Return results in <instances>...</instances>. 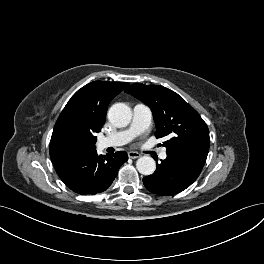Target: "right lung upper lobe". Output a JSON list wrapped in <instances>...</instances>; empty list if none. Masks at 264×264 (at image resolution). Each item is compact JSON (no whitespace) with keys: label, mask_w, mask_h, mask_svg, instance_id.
<instances>
[{"label":"right lung upper lobe","mask_w":264,"mask_h":264,"mask_svg":"<svg viewBox=\"0 0 264 264\" xmlns=\"http://www.w3.org/2000/svg\"><path fill=\"white\" fill-rule=\"evenodd\" d=\"M128 85L94 81L71 97L51 136L50 157L55 168L95 150V134L105 123L108 104Z\"/></svg>","instance_id":"right-lung-upper-lobe-1"}]
</instances>
